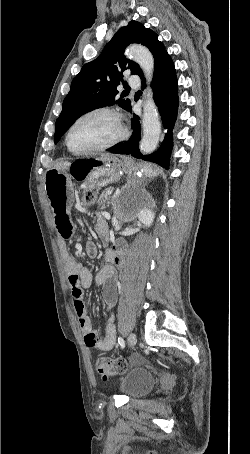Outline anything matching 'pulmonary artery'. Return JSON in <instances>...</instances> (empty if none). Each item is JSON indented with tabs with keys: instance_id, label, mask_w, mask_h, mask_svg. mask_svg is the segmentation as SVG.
<instances>
[{
	"instance_id": "pulmonary-artery-1",
	"label": "pulmonary artery",
	"mask_w": 250,
	"mask_h": 454,
	"mask_svg": "<svg viewBox=\"0 0 250 454\" xmlns=\"http://www.w3.org/2000/svg\"><path fill=\"white\" fill-rule=\"evenodd\" d=\"M128 83L130 85H139V78L137 75H131L129 78H128Z\"/></svg>"
}]
</instances>
